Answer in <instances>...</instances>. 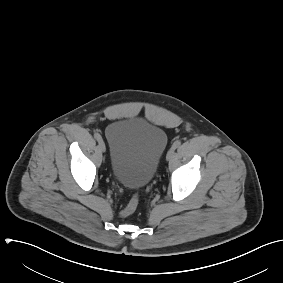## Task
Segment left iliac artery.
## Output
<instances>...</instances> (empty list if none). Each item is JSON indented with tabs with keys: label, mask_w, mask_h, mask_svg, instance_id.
Listing matches in <instances>:
<instances>
[{
	"label": "left iliac artery",
	"mask_w": 283,
	"mask_h": 283,
	"mask_svg": "<svg viewBox=\"0 0 283 283\" xmlns=\"http://www.w3.org/2000/svg\"><path fill=\"white\" fill-rule=\"evenodd\" d=\"M180 145H181V141H180V140H177V141H175V142L173 143L172 148H173V149H176V148H178Z\"/></svg>",
	"instance_id": "left-iliac-artery-1"
}]
</instances>
